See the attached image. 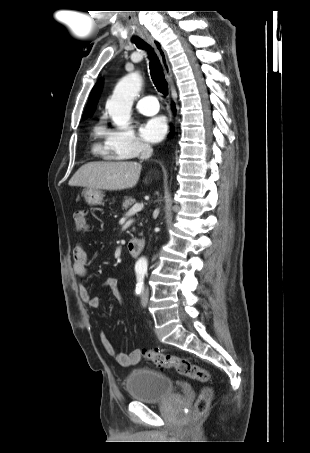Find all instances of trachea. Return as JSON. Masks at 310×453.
<instances>
[{
  "mask_svg": "<svg viewBox=\"0 0 310 453\" xmlns=\"http://www.w3.org/2000/svg\"><path fill=\"white\" fill-rule=\"evenodd\" d=\"M134 43L139 49H144L148 51V56L150 60L149 68L152 81L160 93H162L165 96L168 95V83L165 79L160 60L154 53L153 49L143 40H137L134 41Z\"/></svg>",
  "mask_w": 310,
  "mask_h": 453,
  "instance_id": "trachea-1",
  "label": "trachea"
}]
</instances>
